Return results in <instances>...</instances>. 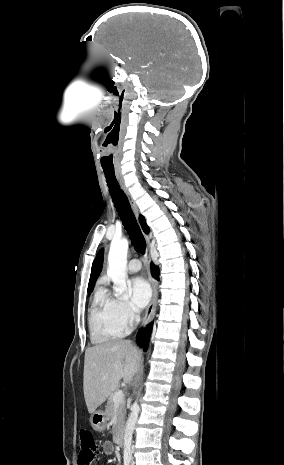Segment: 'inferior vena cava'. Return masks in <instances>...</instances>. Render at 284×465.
Wrapping results in <instances>:
<instances>
[{"instance_id":"obj_1","label":"inferior vena cava","mask_w":284,"mask_h":465,"mask_svg":"<svg viewBox=\"0 0 284 465\" xmlns=\"http://www.w3.org/2000/svg\"><path fill=\"white\" fill-rule=\"evenodd\" d=\"M133 319L135 323H140V315H134Z\"/></svg>"}]
</instances>
